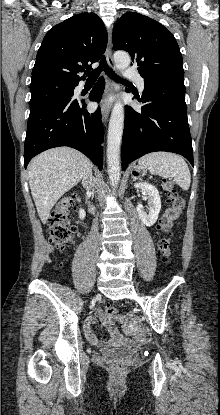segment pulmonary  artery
Instances as JSON below:
<instances>
[{
    "label": "pulmonary artery",
    "instance_id": "pulmonary-artery-1",
    "mask_svg": "<svg viewBox=\"0 0 220 415\" xmlns=\"http://www.w3.org/2000/svg\"><path fill=\"white\" fill-rule=\"evenodd\" d=\"M124 75L128 78L133 79L136 82L137 87L140 91L144 90V80L139 73L131 69H126L124 71Z\"/></svg>",
    "mask_w": 220,
    "mask_h": 415
}]
</instances>
